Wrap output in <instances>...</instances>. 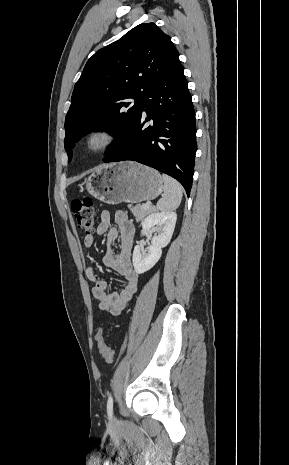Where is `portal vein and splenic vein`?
I'll return each instance as SVG.
<instances>
[{"label":"portal vein and splenic vein","mask_w":289,"mask_h":465,"mask_svg":"<svg viewBox=\"0 0 289 465\" xmlns=\"http://www.w3.org/2000/svg\"><path fill=\"white\" fill-rule=\"evenodd\" d=\"M143 208L149 209V208H150V204H148V203L144 204V205H143Z\"/></svg>","instance_id":"18ae733b"}]
</instances>
